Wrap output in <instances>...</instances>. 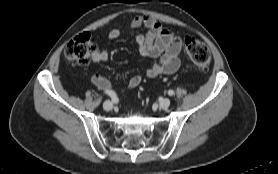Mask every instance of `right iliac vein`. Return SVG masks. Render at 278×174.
Wrapping results in <instances>:
<instances>
[{"label": "right iliac vein", "instance_id": "63e3f726", "mask_svg": "<svg viewBox=\"0 0 278 174\" xmlns=\"http://www.w3.org/2000/svg\"><path fill=\"white\" fill-rule=\"evenodd\" d=\"M103 108L106 111H110L113 108V104L111 101L107 100L103 103Z\"/></svg>", "mask_w": 278, "mask_h": 174}]
</instances>
